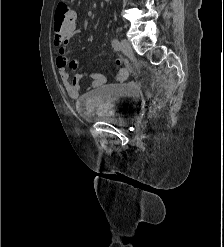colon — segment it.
<instances>
[{"label": "colon", "instance_id": "5ec220e1", "mask_svg": "<svg viewBox=\"0 0 224 247\" xmlns=\"http://www.w3.org/2000/svg\"><path fill=\"white\" fill-rule=\"evenodd\" d=\"M54 31L56 34L65 37H72L75 28V12L67 1H60L55 10ZM72 67H76V63H71ZM128 78V71L125 68H120L117 72V79L125 81Z\"/></svg>", "mask_w": 224, "mask_h": 247}]
</instances>
